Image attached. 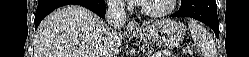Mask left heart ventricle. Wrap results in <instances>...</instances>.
<instances>
[{"label": "left heart ventricle", "instance_id": "left-heart-ventricle-1", "mask_svg": "<svg viewBox=\"0 0 249 57\" xmlns=\"http://www.w3.org/2000/svg\"><path fill=\"white\" fill-rule=\"evenodd\" d=\"M144 4L148 9L158 11L165 9L169 4V0H147Z\"/></svg>", "mask_w": 249, "mask_h": 57}]
</instances>
